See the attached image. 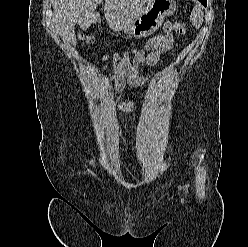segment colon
Masks as SVG:
<instances>
[{"instance_id": "colon-1", "label": "colon", "mask_w": 248, "mask_h": 247, "mask_svg": "<svg viewBox=\"0 0 248 247\" xmlns=\"http://www.w3.org/2000/svg\"><path fill=\"white\" fill-rule=\"evenodd\" d=\"M185 25L180 22H166L163 26V31L165 33H169L171 31H177L179 33H185ZM82 40L85 43H90L93 40V36L91 34H83Z\"/></svg>"}]
</instances>
